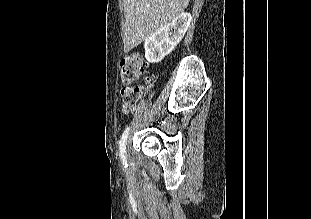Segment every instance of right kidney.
Wrapping results in <instances>:
<instances>
[{
	"label": "right kidney",
	"instance_id": "obj_1",
	"mask_svg": "<svg viewBox=\"0 0 311 219\" xmlns=\"http://www.w3.org/2000/svg\"><path fill=\"white\" fill-rule=\"evenodd\" d=\"M191 23L190 13H182L166 26L152 34L145 40V57L150 63H158L172 50L184 37Z\"/></svg>",
	"mask_w": 311,
	"mask_h": 219
}]
</instances>
